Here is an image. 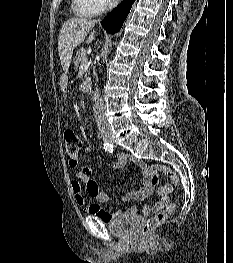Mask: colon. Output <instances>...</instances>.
Wrapping results in <instances>:
<instances>
[{"mask_svg": "<svg viewBox=\"0 0 233 263\" xmlns=\"http://www.w3.org/2000/svg\"><path fill=\"white\" fill-rule=\"evenodd\" d=\"M64 138H65V150L70 158V165L75 167L77 166L78 157L82 149V142L72 129H68L65 131ZM158 171L169 176L174 181V183L178 182V176L170 168L162 165H155L151 169L152 184L154 186H157L159 181L157 176ZM174 209H175V205L173 203H168L163 209L159 210L152 217H150L142 227V236L145 237L149 235L153 230V228L156 225L165 221L168 215L171 214L174 211Z\"/></svg>", "mask_w": 233, "mask_h": 263, "instance_id": "1", "label": "colon"}]
</instances>
